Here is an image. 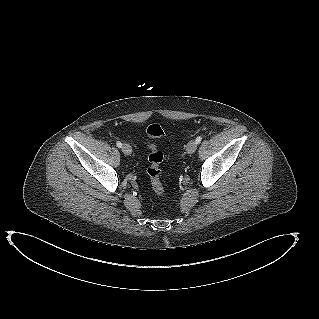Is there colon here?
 Masks as SVG:
<instances>
[{"mask_svg": "<svg viewBox=\"0 0 319 319\" xmlns=\"http://www.w3.org/2000/svg\"><path fill=\"white\" fill-rule=\"evenodd\" d=\"M146 133L148 137L152 139V142L147 145L150 151L148 155L149 167L147 169V175L154 193L158 196H163L165 188L162 182L161 163L164 155L157 147L155 141L164 135V129L159 124H151L147 127Z\"/></svg>", "mask_w": 319, "mask_h": 319, "instance_id": "5ec220e1", "label": "colon"}]
</instances>
